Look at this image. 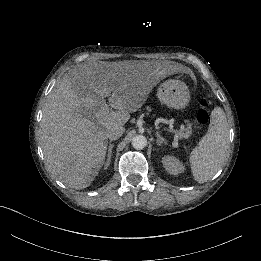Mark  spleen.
<instances>
[{
	"mask_svg": "<svg viewBox=\"0 0 261 261\" xmlns=\"http://www.w3.org/2000/svg\"><path fill=\"white\" fill-rule=\"evenodd\" d=\"M211 133L189 155V168L197 183L210 180L223 165L229 148V125L224 110L215 107L211 111Z\"/></svg>",
	"mask_w": 261,
	"mask_h": 261,
	"instance_id": "obj_1",
	"label": "spleen"
}]
</instances>
